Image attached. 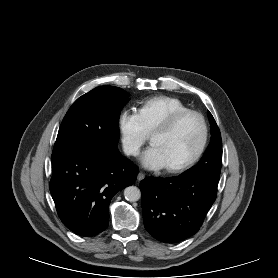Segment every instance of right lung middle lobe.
<instances>
[{"label":"right lung middle lobe","mask_w":278,"mask_h":278,"mask_svg":"<svg viewBox=\"0 0 278 278\" xmlns=\"http://www.w3.org/2000/svg\"><path fill=\"white\" fill-rule=\"evenodd\" d=\"M114 86H100L79 97L66 113L52 155L96 144L117 145L119 116L130 100Z\"/></svg>","instance_id":"dd1d6c3e"}]
</instances>
